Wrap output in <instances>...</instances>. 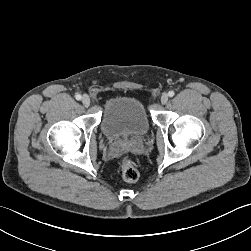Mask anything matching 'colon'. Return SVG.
<instances>
[{
  "label": "colon",
  "instance_id": "obj_1",
  "mask_svg": "<svg viewBox=\"0 0 251 251\" xmlns=\"http://www.w3.org/2000/svg\"><path fill=\"white\" fill-rule=\"evenodd\" d=\"M120 172L123 180L128 183L136 182L139 178V173L133 161L129 157H124L120 163Z\"/></svg>",
  "mask_w": 251,
  "mask_h": 251
}]
</instances>
